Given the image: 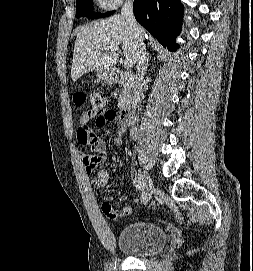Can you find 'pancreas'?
I'll list each match as a JSON object with an SVG mask.
<instances>
[{
    "mask_svg": "<svg viewBox=\"0 0 253 271\" xmlns=\"http://www.w3.org/2000/svg\"><path fill=\"white\" fill-rule=\"evenodd\" d=\"M121 86L123 87L121 94L118 98V107L120 109L125 108L134 96V80L130 77L125 78L121 81Z\"/></svg>",
    "mask_w": 253,
    "mask_h": 271,
    "instance_id": "obj_1",
    "label": "pancreas"
}]
</instances>
